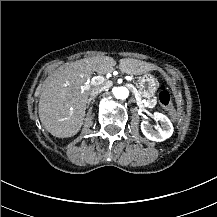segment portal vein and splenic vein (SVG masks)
<instances>
[{
    "label": "portal vein and splenic vein",
    "mask_w": 217,
    "mask_h": 217,
    "mask_svg": "<svg viewBox=\"0 0 217 217\" xmlns=\"http://www.w3.org/2000/svg\"><path fill=\"white\" fill-rule=\"evenodd\" d=\"M132 78L130 76H126V80H131Z\"/></svg>",
    "instance_id": "obj_1"
}]
</instances>
